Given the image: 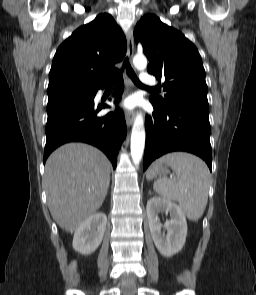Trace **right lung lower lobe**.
Instances as JSON below:
<instances>
[{"instance_id": "right-lung-lower-lobe-1", "label": "right lung lower lobe", "mask_w": 256, "mask_h": 295, "mask_svg": "<svg viewBox=\"0 0 256 295\" xmlns=\"http://www.w3.org/2000/svg\"><path fill=\"white\" fill-rule=\"evenodd\" d=\"M113 95L120 100L123 91V79L118 75L115 79ZM107 84V83H106ZM71 92L64 96L48 98L46 124V145L44 163L50 153L60 145L81 141L101 149L116 167L117 154L122 141L126 137V123L122 111L97 117V113L107 105H94V97L98 89Z\"/></svg>"}]
</instances>
